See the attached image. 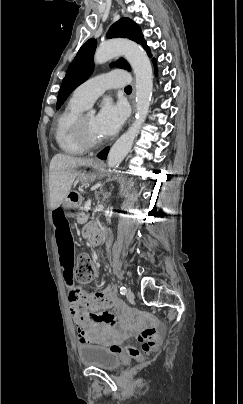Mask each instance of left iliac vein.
<instances>
[{"instance_id":"4c4485c4","label":"left iliac vein","mask_w":243,"mask_h":404,"mask_svg":"<svg viewBox=\"0 0 243 404\" xmlns=\"http://www.w3.org/2000/svg\"><path fill=\"white\" fill-rule=\"evenodd\" d=\"M126 296H127L128 300H133L134 299V293L131 290L127 291Z\"/></svg>"}]
</instances>
